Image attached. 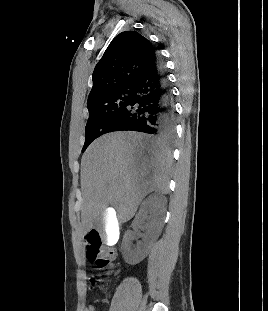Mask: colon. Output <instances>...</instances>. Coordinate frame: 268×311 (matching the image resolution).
<instances>
[{"instance_id": "colon-1", "label": "colon", "mask_w": 268, "mask_h": 311, "mask_svg": "<svg viewBox=\"0 0 268 311\" xmlns=\"http://www.w3.org/2000/svg\"><path fill=\"white\" fill-rule=\"evenodd\" d=\"M85 240L88 261L99 269L111 268V273H114L117 250L111 246H104L103 239L96 230L87 233ZM89 283L91 288H95L98 286L99 280L93 277L90 278Z\"/></svg>"}]
</instances>
